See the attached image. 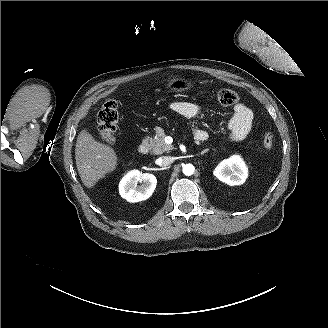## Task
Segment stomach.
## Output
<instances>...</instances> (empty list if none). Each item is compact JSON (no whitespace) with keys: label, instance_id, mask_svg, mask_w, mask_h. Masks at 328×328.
Returning a JSON list of instances; mask_svg holds the SVG:
<instances>
[{"label":"stomach","instance_id":"obj_1","mask_svg":"<svg viewBox=\"0 0 328 328\" xmlns=\"http://www.w3.org/2000/svg\"><path fill=\"white\" fill-rule=\"evenodd\" d=\"M196 82L186 77H172L164 83V89L173 93L192 92Z\"/></svg>","mask_w":328,"mask_h":328}]
</instances>
